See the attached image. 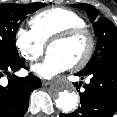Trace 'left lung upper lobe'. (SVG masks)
I'll list each match as a JSON object with an SVG mask.
<instances>
[{
  "label": "left lung upper lobe",
  "instance_id": "left-lung-upper-lobe-1",
  "mask_svg": "<svg viewBox=\"0 0 117 117\" xmlns=\"http://www.w3.org/2000/svg\"><path fill=\"white\" fill-rule=\"evenodd\" d=\"M72 6L86 11L90 21L93 23V28L98 38L92 59L80 71L81 73H86L113 55H117V27L109 19L99 17V11L91 5L77 4Z\"/></svg>",
  "mask_w": 117,
  "mask_h": 117
}]
</instances>
